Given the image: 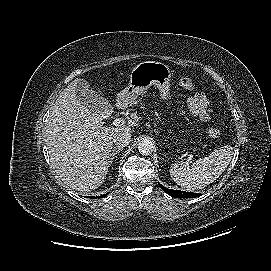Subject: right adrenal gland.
I'll return each instance as SVG.
<instances>
[{
	"label": "right adrenal gland",
	"instance_id": "2a0ac1e0",
	"mask_svg": "<svg viewBox=\"0 0 271 271\" xmlns=\"http://www.w3.org/2000/svg\"><path fill=\"white\" fill-rule=\"evenodd\" d=\"M123 149V147H114L112 149V152L109 153V157H108V162H109V165H111L115 159V156L120 153V151Z\"/></svg>",
	"mask_w": 271,
	"mask_h": 271
}]
</instances>
